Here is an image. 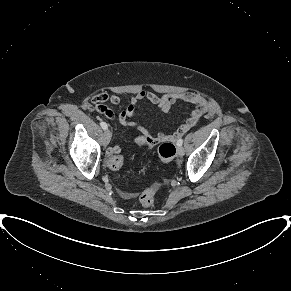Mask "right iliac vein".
Returning a JSON list of instances; mask_svg holds the SVG:
<instances>
[{
	"label": "right iliac vein",
	"instance_id": "right-iliac-vein-1",
	"mask_svg": "<svg viewBox=\"0 0 291 291\" xmlns=\"http://www.w3.org/2000/svg\"><path fill=\"white\" fill-rule=\"evenodd\" d=\"M111 132L106 129L104 132V137H103V144L106 146L109 144L110 140H111Z\"/></svg>",
	"mask_w": 291,
	"mask_h": 291
}]
</instances>
